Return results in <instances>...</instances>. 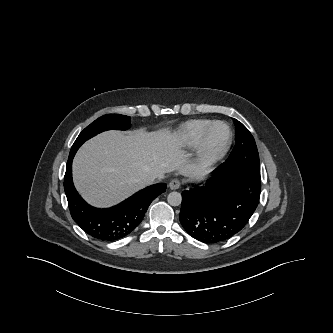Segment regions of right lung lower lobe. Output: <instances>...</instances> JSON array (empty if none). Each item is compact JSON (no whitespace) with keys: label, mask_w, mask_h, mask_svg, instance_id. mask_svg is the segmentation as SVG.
Here are the masks:
<instances>
[{"label":"right lung lower lobe","mask_w":333,"mask_h":333,"mask_svg":"<svg viewBox=\"0 0 333 333\" xmlns=\"http://www.w3.org/2000/svg\"><path fill=\"white\" fill-rule=\"evenodd\" d=\"M75 153H70L67 161L65 194L73 220L95 239L115 241L130 234L144 218L152 200L166 190L165 183H158L140 190L114 207H92L81 198L73 185L72 160Z\"/></svg>","instance_id":"obj_1"}]
</instances>
